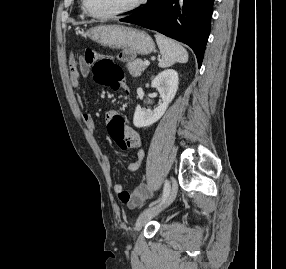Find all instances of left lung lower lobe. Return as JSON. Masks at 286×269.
I'll list each match as a JSON object with an SVG mask.
<instances>
[{"instance_id":"obj_1","label":"left lung lower lobe","mask_w":286,"mask_h":269,"mask_svg":"<svg viewBox=\"0 0 286 269\" xmlns=\"http://www.w3.org/2000/svg\"><path fill=\"white\" fill-rule=\"evenodd\" d=\"M148 0L144 7L120 19L151 30L189 45L201 67L206 42L210 33L213 0Z\"/></svg>"}]
</instances>
